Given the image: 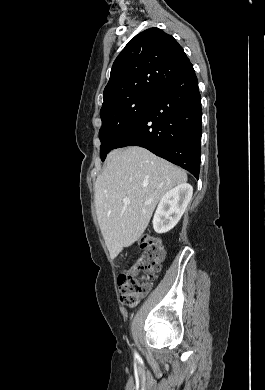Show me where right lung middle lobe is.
Instances as JSON below:
<instances>
[{
	"label": "right lung middle lobe",
	"mask_w": 265,
	"mask_h": 390,
	"mask_svg": "<svg viewBox=\"0 0 265 390\" xmlns=\"http://www.w3.org/2000/svg\"><path fill=\"white\" fill-rule=\"evenodd\" d=\"M156 95L136 94L101 109L102 126L99 131L101 160L113 150L123 135L146 111Z\"/></svg>",
	"instance_id": "1"
}]
</instances>
